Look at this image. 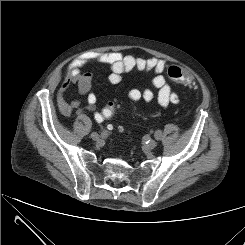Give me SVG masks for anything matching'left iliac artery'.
<instances>
[{
    "label": "left iliac artery",
    "mask_w": 245,
    "mask_h": 245,
    "mask_svg": "<svg viewBox=\"0 0 245 245\" xmlns=\"http://www.w3.org/2000/svg\"><path fill=\"white\" fill-rule=\"evenodd\" d=\"M154 136H155V138H156L157 140H160V139H161V131H159V130L156 131Z\"/></svg>",
    "instance_id": "44dca946"
}]
</instances>
